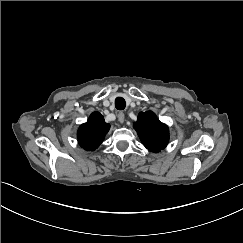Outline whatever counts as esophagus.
<instances>
[{
  "label": "esophagus",
  "mask_w": 243,
  "mask_h": 243,
  "mask_svg": "<svg viewBox=\"0 0 243 243\" xmlns=\"http://www.w3.org/2000/svg\"><path fill=\"white\" fill-rule=\"evenodd\" d=\"M118 121L122 124L125 121V115L123 112L118 113Z\"/></svg>",
  "instance_id": "34e87169"
}]
</instances>
